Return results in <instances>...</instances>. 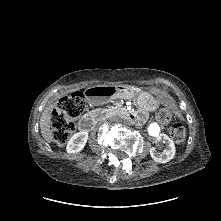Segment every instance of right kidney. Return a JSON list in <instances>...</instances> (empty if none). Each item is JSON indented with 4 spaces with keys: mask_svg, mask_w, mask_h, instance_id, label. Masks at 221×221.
<instances>
[{
    "mask_svg": "<svg viewBox=\"0 0 221 221\" xmlns=\"http://www.w3.org/2000/svg\"><path fill=\"white\" fill-rule=\"evenodd\" d=\"M88 132L82 131L74 134L67 143L66 150L68 153L80 152L86 145Z\"/></svg>",
    "mask_w": 221,
    "mask_h": 221,
    "instance_id": "1",
    "label": "right kidney"
}]
</instances>
